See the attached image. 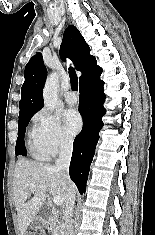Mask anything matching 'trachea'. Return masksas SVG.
Returning <instances> with one entry per match:
<instances>
[{
	"label": "trachea",
	"mask_w": 155,
	"mask_h": 235,
	"mask_svg": "<svg viewBox=\"0 0 155 235\" xmlns=\"http://www.w3.org/2000/svg\"><path fill=\"white\" fill-rule=\"evenodd\" d=\"M69 77H70L72 90L77 91L78 90V77L76 75L75 70L72 67H69Z\"/></svg>",
	"instance_id": "trachea-1"
}]
</instances>
